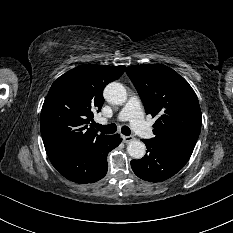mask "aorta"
Returning <instances> with one entry per match:
<instances>
[{
    "label": "aorta",
    "mask_w": 233,
    "mask_h": 233,
    "mask_svg": "<svg viewBox=\"0 0 233 233\" xmlns=\"http://www.w3.org/2000/svg\"><path fill=\"white\" fill-rule=\"evenodd\" d=\"M104 98L111 104L122 105L127 100V92L121 83L111 82L104 89ZM127 152L132 158L141 159L146 153V146L140 140H132L127 146Z\"/></svg>",
    "instance_id": "aorta-1"
}]
</instances>
